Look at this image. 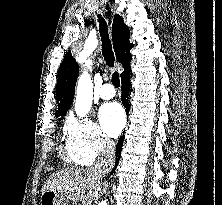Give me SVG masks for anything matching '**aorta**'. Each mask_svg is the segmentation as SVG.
<instances>
[{"label":"aorta","mask_w":222,"mask_h":205,"mask_svg":"<svg viewBox=\"0 0 222 205\" xmlns=\"http://www.w3.org/2000/svg\"><path fill=\"white\" fill-rule=\"evenodd\" d=\"M90 65V62L88 63ZM93 100V84L90 75L84 72L78 80L76 88L75 112L79 117H84L90 111ZM98 205H109V200L104 199Z\"/></svg>","instance_id":"aorta-1"}]
</instances>
